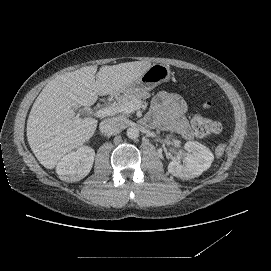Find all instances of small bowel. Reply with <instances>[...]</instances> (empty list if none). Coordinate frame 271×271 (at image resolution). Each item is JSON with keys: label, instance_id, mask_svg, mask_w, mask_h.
<instances>
[{"label": "small bowel", "instance_id": "small-bowel-1", "mask_svg": "<svg viewBox=\"0 0 271 271\" xmlns=\"http://www.w3.org/2000/svg\"><path fill=\"white\" fill-rule=\"evenodd\" d=\"M153 109L166 129L185 139L193 137V131L186 119L188 106L179 95L159 93L153 101Z\"/></svg>", "mask_w": 271, "mask_h": 271}]
</instances>
